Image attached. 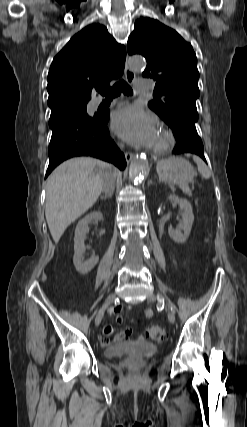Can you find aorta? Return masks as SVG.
<instances>
[{"label": "aorta", "instance_id": "aorta-1", "mask_svg": "<svg viewBox=\"0 0 247 427\" xmlns=\"http://www.w3.org/2000/svg\"><path fill=\"white\" fill-rule=\"evenodd\" d=\"M129 67L133 71H139L145 67V61L142 57H131L129 59ZM147 169L148 162L146 158L141 157L140 155L136 156L132 160L129 168V177L131 181H138Z\"/></svg>", "mask_w": 247, "mask_h": 427}]
</instances>
